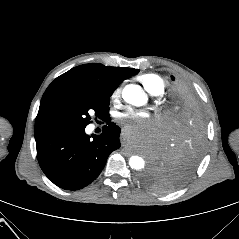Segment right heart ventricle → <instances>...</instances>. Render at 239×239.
Here are the masks:
<instances>
[{
	"label": "right heart ventricle",
	"mask_w": 239,
	"mask_h": 239,
	"mask_svg": "<svg viewBox=\"0 0 239 239\" xmlns=\"http://www.w3.org/2000/svg\"><path fill=\"white\" fill-rule=\"evenodd\" d=\"M145 89L152 94H160L163 92L165 84L163 79L153 73H147L138 77Z\"/></svg>",
	"instance_id": "right-heart-ventricle-1"
}]
</instances>
